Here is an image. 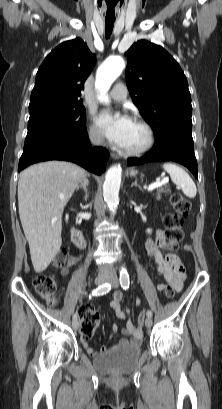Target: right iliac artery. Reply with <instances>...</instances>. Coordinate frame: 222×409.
Instances as JSON below:
<instances>
[{
  "instance_id": "obj_1",
  "label": "right iliac artery",
  "mask_w": 222,
  "mask_h": 409,
  "mask_svg": "<svg viewBox=\"0 0 222 409\" xmlns=\"http://www.w3.org/2000/svg\"><path fill=\"white\" fill-rule=\"evenodd\" d=\"M110 290H111V285L108 284V283H105L103 285H100L98 288L94 289L90 296H101V295H104V294L108 293ZM74 320L77 321V315L76 314L73 315V321Z\"/></svg>"
}]
</instances>
